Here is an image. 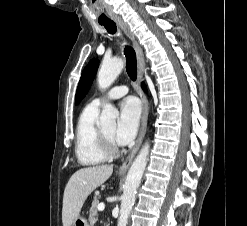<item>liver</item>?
<instances>
[{"mask_svg":"<svg viewBox=\"0 0 247 226\" xmlns=\"http://www.w3.org/2000/svg\"><path fill=\"white\" fill-rule=\"evenodd\" d=\"M112 172L113 165H100L81 168L71 176L63 196V226H71L79 217L88 195L102 185L112 175Z\"/></svg>","mask_w":247,"mask_h":226,"instance_id":"1","label":"liver"}]
</instances>
